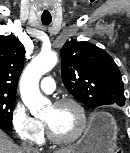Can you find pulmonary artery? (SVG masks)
<instances>
[{"label": "pulmonary artery", "instance_id": "1", "mask_svg": "<svg viewBox=\"0 0 130 153\" xmlns=\"http://www.w3.org/2000/svg\"><path fill=\"white\" fill-rule=\"evenodd\" d=\"M40 88L44 93L51 94L56 88L54 79L50 76L44 77L40 83Z\"/></svg>", "mask_w": 130, "mask_h": 153}]
</instances>
